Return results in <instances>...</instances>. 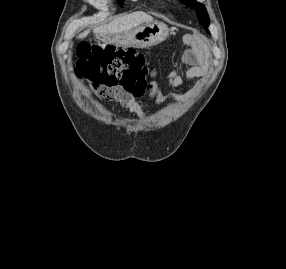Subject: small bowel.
<instances>
[{"label":"small bowel","mask_w":286,"mask_h":269,"mask_svg":"<svg viewBox=\"0 0 286 269\" xmlns=\"http://www.w3.org/2000/svg\"><path fill=\"white\" fill-rule=\"evenodd\" d=\"M187 45L188 49L173 59L167 73V81L173 87H179L185 81L202 77L207 73L209 55L205 43L194 39L188 41ZM109 98L128 108L140 119L147 114L146 107L136 100L131 92L123 88H116Z\"/></svg>","instance_id":"obj_1"}]
</instances>
